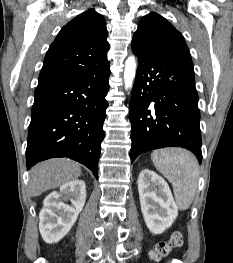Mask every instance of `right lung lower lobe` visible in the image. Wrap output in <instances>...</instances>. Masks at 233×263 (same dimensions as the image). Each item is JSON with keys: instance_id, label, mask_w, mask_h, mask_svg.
I'll return each instance as SVG.
<instances>
[{"instance_id": "right-lung-lower-lobe-1", "label": "right lung lower lobe", "mask_w": 233, "mask_h": 263, "mask_svg": "<svg viewBox=\"0 0 233 263\" xmlns=\"http://www.w3.org/2000/svg\"><path fill=\"white\" fill-rule=\"evenodd\" d=\"M110 73L107 60L85 77L36 87L28 129L27 169L45 159L68 157L84 164L98 178Z\"/></svg>"}]
</instances>
